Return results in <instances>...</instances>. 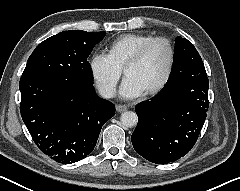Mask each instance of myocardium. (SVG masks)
I'll return each instance as SVG.
<instances>
[{"instance_id":"obj_1","label":"myocardium","mask_w":240,"mask_h":191,"mask_svg":"<svg viewBox=\"0 0 240 191\" xmlns=\"http://www.w3.org/2000/svg\"><path fill=\"white\" fill-rule=\"evenodd\" d=\"M156 42H164L169 50V61L167 65L166 72L164 74V77L162 80L153 88L149 89L148 91L142 93L143 96H151L159 93L169 82L170 77L172 75L173 67H174V62H175V49L173 46L172 41L163 36H158V37H153L146 43H144L137 51L136 53L128 60V62L125 64L123 68V74L126 76L127 71L139 64L142 59L144 58L145 54L147 53L148 49Z\"/></svg>"}]
</instances>
